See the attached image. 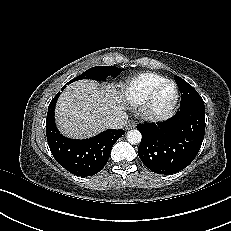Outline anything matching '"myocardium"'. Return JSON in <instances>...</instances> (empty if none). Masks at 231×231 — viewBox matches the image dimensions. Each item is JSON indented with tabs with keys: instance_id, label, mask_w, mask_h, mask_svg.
Masks as SVG:
<instances>
[{
	"instance_id": "obj_1",
	"label": "myocardium",
	"mask_w": 231,
	"mask_h": 231,
	"mask_svg": "<svg viewBox=\"0 0 231 231\" xmlns=\"http://www.w3.org/2000/svg\"><path fill=\"white\" fill-rule=\"evenodd\" d=\"M171 85L173 87V95L171 100L162 107H157L154 104V99L158 92L165 86ZM179 99V89L177 84L173 80H163L157 84L146 96L143 102L140 104V115L149 122H161L168 119L174 112Z\"/></svg>"
}]
</instances>
